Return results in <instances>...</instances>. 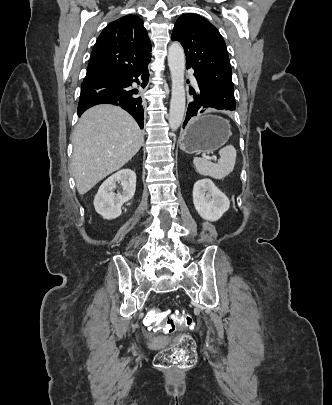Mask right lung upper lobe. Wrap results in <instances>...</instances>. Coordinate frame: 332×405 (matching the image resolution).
I'll return each instance as SVG.
<instances>
[{
    "label": "right lung upper lobe",
    "mask_w": 332,
    "mask_h": 405,
    "mask_svg": "<svg viewBox=\"0 0 332 405\" xmlns=\"http://www.w3.org/2000/svg\"><path fill=\"white\" fill-rule=\"evenodd\" d=\"M151 58V43L136 15L111 22L100 34L91 52L85 79L134 70Z\"/></svg>",
    "instance_id": "cb5924a9"
}]
</instances>
